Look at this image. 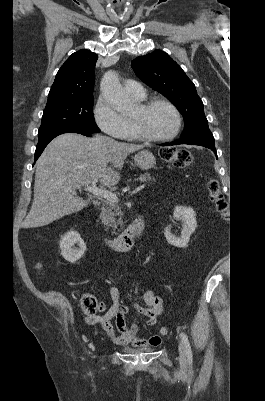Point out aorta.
Returning a JSON list of instances; mask_svg holds the SVG:
<instances>
[{
  "label": "aorta",
  "instance_id": "obj_1",
  "mask_svg": "<svg viewBox=\"0 0 265 401\" xmlns=\"http://www.w3.org/2000/svg\"><path fill=\"white\" fill-rule=\"evenodd\" d=\"M101 94L118 112H127L129 102L120 84L119 76L113 70H108L103 74L100 84Z\"/></svg>",
  "mask_w": 265,
  "mask_h": 401
}]
</instances>
